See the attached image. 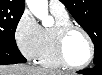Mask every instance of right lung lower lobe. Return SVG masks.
Wrapping results in <instances>:
<instances>
[{"mask_svg": "<svg viewBox=\"0 0 102 75\" xmlns=\"http://www.w3.org/2000/svg\"><path fill=\"white\" fill-rule=\"evenodd\" d=\"M26 59L18 48H0V65L24 63Z\"/></svg>", "mask_w": 102, "mask_h": 75, "instance_id": "right-lung-lower-lobe-1", "label": "right lung lower lobe"}]
</instances>
